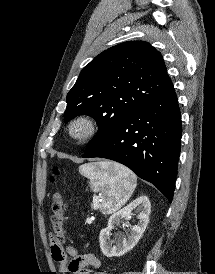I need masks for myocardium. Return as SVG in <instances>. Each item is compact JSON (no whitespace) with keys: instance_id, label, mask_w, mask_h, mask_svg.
<instances>
[{"instance_id":"1","label":"myocardium","mask_w":215,"mask_h":274,"mask_svg":"<svg viewBox=\"0 0 215 274\" xmlns=\"http://www.w3.org/2000/svg\"><path fill=\"white\" fill-rule=\"evenodd\" d=\"M98 132V124L87 115H79L70 120L67 126L68 136L77 142H85Z\"/></svg>"}]
</instances>
